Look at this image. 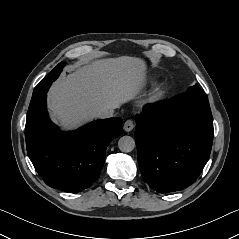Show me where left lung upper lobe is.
<instances>
[{
    "label": "left lung upper lobe",
    "mask_w": 239,
    "mask_h": 239,
    "mask_svg": "<svg viewBox=\"0 0 239 239\" xmlns=\"http://www.w3.org/2000/svg\"><path fill=\"white\" fill-rule=\"evenodd\" d=\"M187 92H192V93H196V94H200V95H204L205 93L203 92V90L198 86V85H194L191 86ZM186 93V92H185Z\"/></svg>",
    "instance_id": "left-lung-upper-lobe-1"
}]
</instances>
